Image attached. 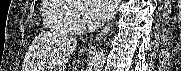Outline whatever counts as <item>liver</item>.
<instances>
[{
  "label": "liver",
  "mask_w": 181,
  "mask_h": 71,
  "mask_svg": "<svg viewBox=\"0 0 181 71\" xmlns=\"http://www.w3.org/2000/svg\"><path fill=\"white\" fill-rule=\"evenodd\" d=\"M76 46L77 40L71 36L57 32L42 33L34 40L25 58L26 71H45L64 65Z\"/></svg>",
  "instance_id": "liver-1"
}]
</instances>
